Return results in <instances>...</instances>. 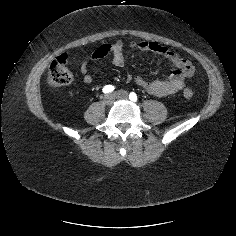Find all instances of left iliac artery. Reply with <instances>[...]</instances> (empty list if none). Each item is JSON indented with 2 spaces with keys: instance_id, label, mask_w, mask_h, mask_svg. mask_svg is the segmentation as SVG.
Masks as SVG:
<instances>
[{
  "instance_id": "left-iliac-artery-1",
  "label": "left iliac artery",
  "mask_w": 236,
  "mask_h": 236,
  "mask_svg": "<svg viewBox=\"0 0 236 236\" xmlns=\"http://www.w3.org/2000/svg\"><path fill=\"white\" fill-rule=\"evenodd\" d=\"M129 99H130L131 101H133V102H137L138 98H137L136 93H135V92H131V93L129 94Z\"/></svg>"
}]
</instances>
